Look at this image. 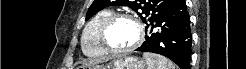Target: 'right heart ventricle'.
Returning a JSON list of instances; mask_svg holds the SVG:
<instances>
[{"instance_id": "e07e8e85", "label": "right heart ventricle", "mask_w": 246, "mask_h": 69, "mask_svg": "<svg viewBox=\"0 0 246 69\" xmlns=\"http://www.w3.org/2000/svg\"><path fill=\"white\" fill-rule=\"evenodd\" d=\"M110 9H102L87 22L82 33V49L85 55L101 57L106 51L99 41V29L103 21L112 14Z\"/></svg>"}]
</instances>
